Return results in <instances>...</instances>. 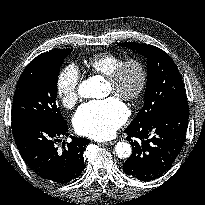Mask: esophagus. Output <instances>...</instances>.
<instances>
[{"label": "esophagus", "mask_w": 205, "mask_h": 205, "mask_svg": "<svg viewBox=\"0 0 205 205\" xmlns=\"http://www.w3.org/2000/svg\"><path fill=\"white\" fill-rule=\"evenodd\" d=\"M115 143L116 141H107V142H103L102 144L106 146H110V145H114Z\"/></svg>", "instance_id": "1"}]
</instances>
